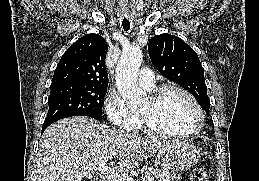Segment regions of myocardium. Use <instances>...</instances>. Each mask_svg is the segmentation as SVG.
Listing matches in <instances>:
<instances>
[{"label": "myocardium", "mask_w": 259, "mask_h": 181, "mask_svg": "<svg viewBox=\"0 0 259 181\" xmlns=\"http://www.w3.org/2000/svg\"><path fill=\"white\" fill-rule=\"evenodd\" d=\"M171 91H176V92L183 94L193 104V106L195 107V110L197 112V115H198L197 127L193 131L188 132V133L169 132V131L156 127L152 123L151 118L147 113L140 112V118H141L144 129L152 135L166 137V138L188 139V138L197 136L204 127L205 116H204V112H203L201 105L199 104L197 99L188 90H186L185 88H183L181 86L174 85V84L163 85V86H160V87L154 89L150 93L149 99L153 104H156L160 101V99L165 94H167L168 92H171Z\"/></svg>", "instance_id": "1"}]
</instances>
